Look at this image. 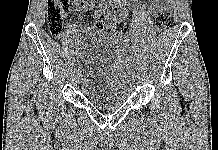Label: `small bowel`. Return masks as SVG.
Masks as SVG:
<instances>
[{
	"mask_svg": "<svg viewBox=\"0 0 218 150\" xmlns=\"http://www.w3.org/2000/svg\"><path fill=\"white\" fill-rule=\"evenodd\" d=\"M126 0H114L115 11L118 13L120 20L126 18ZM172 0H152V5L149 8L151 14H155L163 7H168ZM75 7L84 11H89L93 7V0H73ZM106 11V6H103L96 14L95 17L99 18ZM97 28L96 25H87L85 31L91 32Z\"/></svg>",
	"mask_w": 218,
	"mask_h": 150,
	"instance_id": "c3829d8e",
	"label": "small bowel"
}]
</instances>
